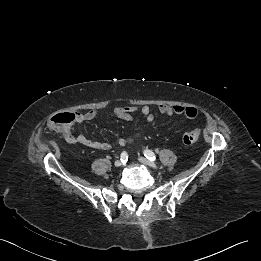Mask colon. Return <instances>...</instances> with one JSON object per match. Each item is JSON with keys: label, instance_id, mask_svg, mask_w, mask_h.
I'll list each match as a JSON object with an SVG mask.
<instances>
[{"label": "colon", "instance_id": "colon-1", "mask_svg": "<svg viewBox=\"0 0 261 261\" xmlns=\"http://www.w3.org/2000/svg\"><path fill=\"white\" fill-rule=\"evenodd\" d=\"M75 122L74 113L60 112L53 114L48 120V126L51 129L59 130L64 129ZM200 136L198 129L187 131L183 134V142L187 145L195 143Z\"/></svg>", "mask_w": 261, "mask_h": 261}]
</instances>
